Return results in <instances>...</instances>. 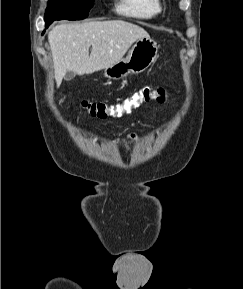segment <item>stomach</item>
I'll use <instances>...</instances> for the list:
<instances>
[{"mask_svg": "<svg viewBox=\"0 0 243 289\" xmlns=\"http://www.w3.org/2000/svg\"><path fill=\"white\" fill-rule=\"evenodd\" d=\"M157 57V43L150 37L140 38L126 58L104 69V75L110 79H120L128 74H139L153 64Z\"/></svg>", "mask_w": 243, "mask_h": 289, "instance_id": "obj_1", "label": "stomach"}]
</instances>
